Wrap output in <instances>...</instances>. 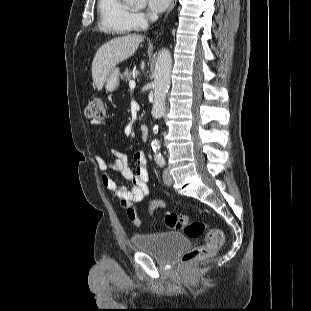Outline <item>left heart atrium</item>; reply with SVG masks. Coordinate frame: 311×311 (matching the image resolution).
<instances>
[{"mask_svg": "<svg viewBox=\"0 0 311 311\" xmlns=\"http://www.w3.org/2000/svg\"><path fill=\"white\" fill-rule=\"evenodd\" d=\"M171 0H147L150 11L159 13L164 11L170 4Z\"/></svg>", "mask_w": 311, "mask_h": 311, "instance_id": "left-heart-atrium-1", "label": "left heart atrium"}]
</instances>
